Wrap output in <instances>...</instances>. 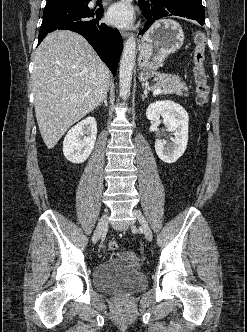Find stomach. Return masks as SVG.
<instances>
[{"label":"stomach","mask_w":247,"mask_h":332,"mask_svg":"<svg viewBox=\"0 0 247 332\" xmlns=\"http://www.w3.org/2000/svg\"><path fill=\"white\" fill-rule=\"evenodd\" d=\"M183 42L184 32L176 21L161 19L155 22L141 40L138 59L140 79H147L153 70L162 66L168 55L183 45Z\"/></svg>","instance_id":"obj_1"}]
</instances>
